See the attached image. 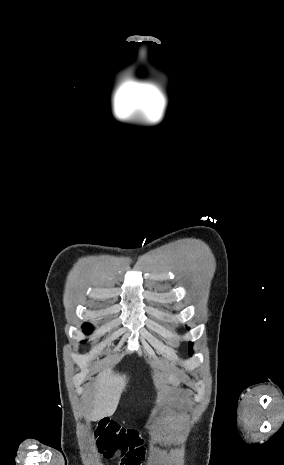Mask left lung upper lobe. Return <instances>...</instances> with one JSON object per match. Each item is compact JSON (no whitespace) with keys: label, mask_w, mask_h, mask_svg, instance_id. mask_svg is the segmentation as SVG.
<instances>
[{"label":"left lung upper lobe","mask_w":284,"mask_h":465,"mask_svg":"<svg viewBox=\"0 0 284 465\" xmlns=\"http://www.w3.org/2000/svg\"><path fill=\"white\" fill-rule=\"evenodd\" d=\"M188 329H189V328H188ZM192 346H193V343L190 342V343H189V355H192V354H193Z\"/></svg>","instance_id":"1"}]
</instances>
